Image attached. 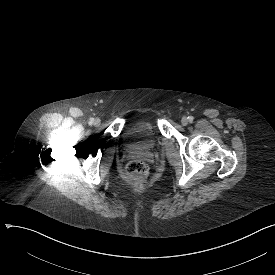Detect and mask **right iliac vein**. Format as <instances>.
Listing matches in <instances>:
<instances>
[{"label":"right iliac vein","mask_w":275,"mask_h":275,"mask_svg":"<svg viewBox=\"0 0 275 275\" xmlns=\"http://www.w3.org/2000/svg\"><path fill=\"white\" fill-rule=\"evenodd\" d=\"M94 126L95 127H99L100 124H101V121L99 119H96L94 122H93Z\"/></svg>","instance_id":"63e3f726"}]
</instances>
